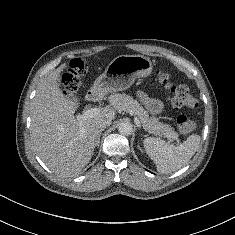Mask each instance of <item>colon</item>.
<instances>
[{"label":"colon","instance_id":"colon-1","mask_svg":"<svg viewBox=\"0 0 235 235\" xmlns=\"http://www.w3.org/2000/svg\"><path fill=\"white\" fill-rule=\"evenodd\" d=\"M86 69L87 63L85 60H72L68 72L63 76V85L66 93L71 94L76 91L79 76L85 73ZM157 77L160 84L170 92L171 103L175 108L194 109L197 107V99L187 85L172 83L169 76L162 71L157 73ZM176 123L178 130L184 135L191 134L196 129V122L187 115L178 116Z\"/></svg>","mask_w":235,"mask_h":235}]
</instances>
